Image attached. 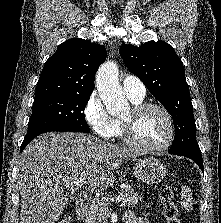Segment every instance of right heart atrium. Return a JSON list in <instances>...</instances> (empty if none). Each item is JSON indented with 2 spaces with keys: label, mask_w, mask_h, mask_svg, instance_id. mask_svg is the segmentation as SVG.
Wrapping results in <instances>:
<instances>
[{
  "label": "right heart atrium",
  "mask_w": 221,
  "mask_h": 223,
  "mask_svg": "<svg viewBox=\"0 0 221 223\" xmlns=\"http://www.w3.org/2000/svg\"><path fill=\"white\" fill-rule=\"evenodd\" d=\"M83 115L93 133L101 139L109 140L116 134V122L107 113L104 104L96 92L88 97Z\"/></svg>",
  "instance_id": "1"
}]
</instances>
